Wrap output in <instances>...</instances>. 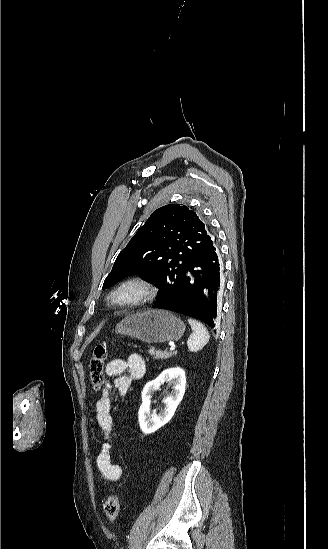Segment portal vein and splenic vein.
<instances>
[{
	"mask_svg": "<svg viewBox=\"0 0 328 549\" xmlns=\"http://www.w3.org/2000/svg\"><path fill=\"white\" fill-rule=\"evenodd\" d=\"M174 349H175V347H171V348H170V351H174Z\"/></svg>",
	"mask_w": 328,
	"mask_h": 549,
	"instance_id": "obj_1",
	"label": "portal vein and splenic vein"
}]
</instances>
